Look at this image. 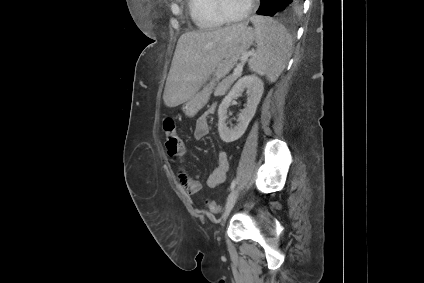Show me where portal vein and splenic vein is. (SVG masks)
Here are the masks:
<instances>
[{
    "label": "portal vein and splenic vein",
    "mask_w": 424,
    "mask_h": 283,
    "mask_svg": "<svg viewBox=\"0 0 424 283\" xmlns=\"http://www.w3.org/2000/svg\"><path fill=\"white\" fill-rule=\"evenodd\" d=\"M251 55H253L251 52H248V53H246V54H244L243 56H242V60H246V59H248V57L249 56H251ZM241 71H242V65L240 64V65H238L235 69H234V71H233V74L234 75H239L240 73H241Z\"/></svg>",
    "instance_id": "18ae733b"
}]
</instances>
